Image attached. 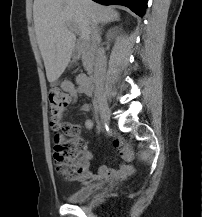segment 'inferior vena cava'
<instances>
[{"instance_id":"inferior-vena-cava-1","label":"inferior vena cava","mask_w":202,"mask_h":217,"mask_svg":"<svg viewBox=\"0 0 202 217\" xmlns=\"http://www.w3.org/2000/svg\"><path fill=\"white\" fill-rule=\"evenodd\" d=\"M91 39L96 45V63L94 71L95 83L97 87H102L104 84L106 57L103 49L99 46L100 29L97 24L91 26Z\"/></svg>"}]
</instances>
